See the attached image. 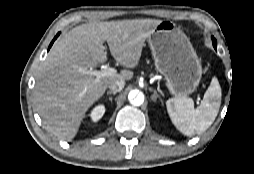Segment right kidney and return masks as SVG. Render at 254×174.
<instances>
[{"label":"right kidney","instance_id":"ca27d5eb","mask_svg":"<svg viewBox=\"0 0 254 174\" xmlns=\"http://www.w3.org/2000/svg\"><path fill=\"white\" fill-rule=\"evenodd\" d=\"M104 113H105L104 105H98L92 110V112L90 113V117L92 121L97 122L102 118Z\"/></svg>","mask_w":254,"mask_h":174}]
</instances>
